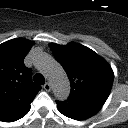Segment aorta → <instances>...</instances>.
Returning a JSON list of instances; mask_svg holds the SVG:
<instances>
[{
    "instance_id": "1",
    "label": "aorta",
    "mask_w": 128,
    "mask_h": 128,
    "mask_svg": "<svg viewBox=\"0 0 128 128\" xmlns=\"http://www.w3.org/2000/svg\"><path fill=\"white\" fill-rule=\"evenodd\" d=\"M36 66L49 78L54 96L64 101L70 94V83L63 68L48 54L36 58Z\"/></svg>"
}]
</instances>
